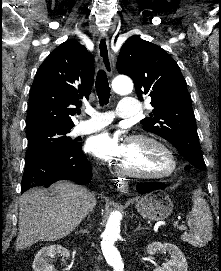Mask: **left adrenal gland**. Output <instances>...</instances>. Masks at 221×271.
Listing matches in <instances>:
<instances>
[{"label": "left adrenal gland", "mask_w": 221, "mask_h": 271, "mask_svg": "<svg viewBox=\"0 0 221 271\" xmlns=\"http://www.w3.org/2000/svg\"><path fill=\"white\" fill-rule=\"evenodd\" d=\"M136 229H149V227H141V221H138V227H136Z\"/></svg>", "instance_id": "left-adrenal-gland-1"}]
</instances>
